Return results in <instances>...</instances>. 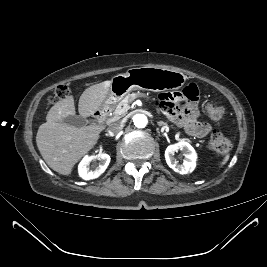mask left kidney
<instances>
[{
  "mask_svg": "<svg viewBox=\"0 0 267 267\" xmlns=\"http://www.w3.org/2000/svg\"><path fill=\"white\" fill-rule=\"evenodd\" d=\"M180 150L185 159L182 164L175 158L174 154ZM165 159L170 168L180 174H187L192 172L196 166L197 154L194 148L185 141H180L176 144L169 145L165 151Z\"/></svg>",
  "mask_w": 267,
  "mask_h": 267,
  "instance_id": "5707ae66",
  "label": "left kidney"
}]
</instances>
